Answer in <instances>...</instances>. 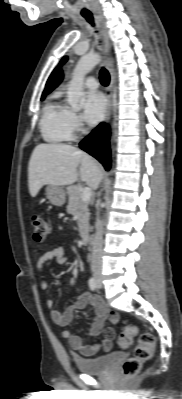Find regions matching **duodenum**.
Wrapping results in <instances>:
<instances>
[{"mask_svg":"<svg viewBox=\"0 0 182 399\" xmlns=\"http://www.w3.org/2000/svg\"><path fill=\"white\" fill-rule=\"evenodd\" d=\"M81 239H82V242H83L84 244H87L88 241H89V234H88V232H83L82 235H81Z\"/></svg>","mask_w":182,"mask_h":399,"instance_id":"410a0bca","label":"duodenum"}]
</instances>
